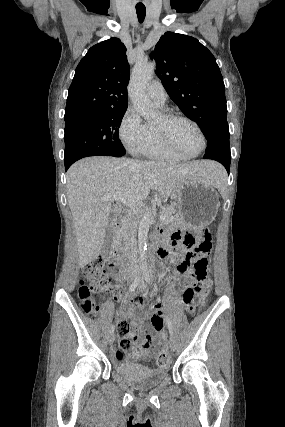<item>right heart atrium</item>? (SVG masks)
<instances>
[{
	"label": "right heart atrium",
	"mask_w": 285,
	"mask_h": 427,
	"mask_svg": "<svg viewBox=\"0 0 285 427\" xmlns=\"http://www.w3.org/2000/svg\"><path fill=\"white\" fill-rule=\"evenodd\" d=\"M120 137L132 153L140 154L149 139V126L133 107H129L120 124Z\"/></svg>",
	"instance_id": "1"
}]
</instances>
